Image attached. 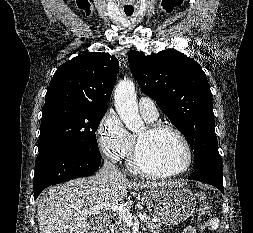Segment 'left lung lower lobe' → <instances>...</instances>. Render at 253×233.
I'll list each match as a JSON object with an SVG mask.
<instances>
[{
    "label": "left lung lower lobe",
    "mask_w": 253,
    "mask_h": 233,
    "mask_svg": "<svg viewBox=\"0 0 253 233\" xmlns=\"http://www.w3.org/2000/svg\"><path fill=\"white\" fill-rule=\"evenodd\" d=\"M222 176L223 168L221 169L212 165H203L195 169L188 179L209 183L223 192Z\"/></svg>",
    "instance_id": "left-lung-lower-lobe-1"
}]
</instances>
